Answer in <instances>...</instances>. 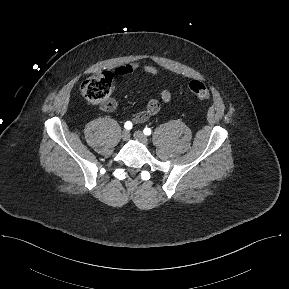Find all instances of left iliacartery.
<instances>
[{
  "mask_svg": "<svg viewBox=\"0 0 289 289\" xmlns=\"http://www.w3.org/2000/svg\"><path fill=\"white\" fill-rule=\"evenodd\" d=\"M143 132L145 135L149 136L151 134V129L146 127Z\"/></svg>",
  "mask_w": 289,
  "mask_h": 289,
  "instance_id": "44dca946",
  "label": "left iliac artery"
}]
</instances>
